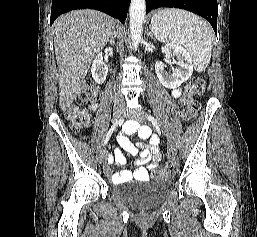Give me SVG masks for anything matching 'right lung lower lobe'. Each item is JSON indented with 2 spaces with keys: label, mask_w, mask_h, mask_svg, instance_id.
I'll return each mask as SVG.
<instances>
[{
  "label": "right lung lower lobe",
  "mask_w": 257,
  "mask_h": 237,
  "mask_svg": "<svg viewBox=\"0 0 257 237\" xmlns=\"http://www.w3.org/2000/svg\"><path fill=\"white\" fill-rule=\"evenodd\" d=\"M131 0H52L50 23L61 14L75 9L102 11L124 23Z\"/></svg>",
  "instance_id": "98d812e1"
}]
</instances>
